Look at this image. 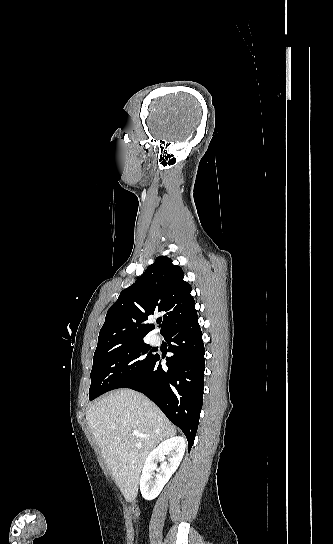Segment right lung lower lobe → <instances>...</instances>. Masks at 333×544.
Here are the masks:
<instances>
[{
    "mask_svg": "<svg viewBox=\"0 0 333 544\" xmlns=\"http://www.w3.org/2000/svg\"><path fill=\"white\" fill-rule=\"evenodd\" d=\"M169 344L168 371L156 355L142 376L127 385L145 394L178 426L192 447L198 428L204 389L205 348L197 313L183 319L162 334ZM124 388V387H123Z\"/></svg>",
    "mask_w": 333,
    "mask_h": 544,
    "instance_id": "right-lung-lower-lobe-1",
    "label": "right lung lower lobe"
}]
</instances>
